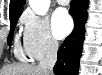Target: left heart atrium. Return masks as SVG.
Instances as JSON below:
<instances>
[{
    "instance_id": "39dd6f15",
    "label": "left heart atrium",
    "mask_w": 102,
    "mask_h": 75,
    "mask_svg": "<svg viewBox=\"0 0 102 75\" xmlns=\"http://www.w3.org/2000/svg\"><path fill=\"white\" fill-rule=\"evenodd\" d=\"M73 21L64 8L57 9L52 16V31L57 39H62L70 33Z\"/></svg>"
}]
</instances>
